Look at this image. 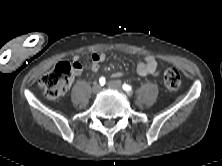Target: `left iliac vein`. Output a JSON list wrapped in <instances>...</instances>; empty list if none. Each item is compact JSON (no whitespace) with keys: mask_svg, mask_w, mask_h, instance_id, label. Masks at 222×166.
I'll return each mask as SVG.
<instances>
[{"mask_svg":"<svg viewBox=\"0 0 222 166\" xmlns=\"http://www.w3.org/2000/svg\"><path fill=\"white\" fill-rule=\"evenodd\" d=\"M108 87L114 90L122 91V87L119 81L112 80L108 82ZM131 93L129 92L128 95Z\"/></svg>","mask_w":222,"mask_h":166,"instance_id":"1","label":"left iliac vein"}]
</instances>
